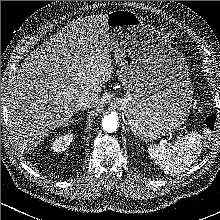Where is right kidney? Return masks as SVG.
<instances>
[{
    "instance_id": "1",
    "label": "right kidney",
    "mask_w": 220,
    "mask_h": 220,
    "mask_svg": "<svg viewBox=\"0 0 220 220\" xmlns=\"http://www.w3.org/2000/svg\"><path fill=\"white\" fill-rule=\"evenodd\" d=\"M73 135L72 134H65L64 136H60L58 139L55 140L53 143V149L55 152H62L65 151L69 145L70 142H72Z\"/></svg>"
}]
</instances>
